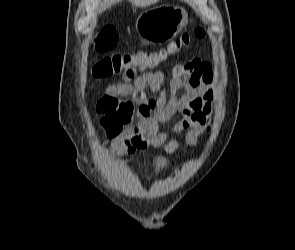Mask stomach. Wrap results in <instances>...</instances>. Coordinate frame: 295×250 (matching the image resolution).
Instances as JSON below:
<instances>
[{
    "label": "stomach",
    "mask_w": 295,
    "mask_h": 250,
    "mask_svg": "<svg viewBox=\"0 0 295 250\" xmlns=\"http://www.w3.org/2000/svg\"><path fill=\"white\" fill-rule=\"evenodd\" d=\"M188 22V14L182 7L160 5L144 12L137 21L138 33L150 40V45L174 38Z\"/></svg>",
    "instance_id": "obj_1"
}]
</instances>
